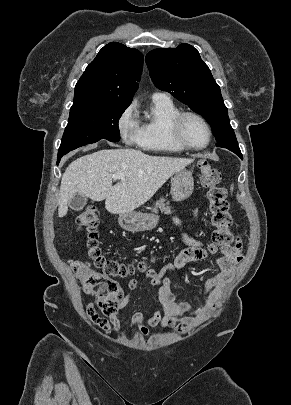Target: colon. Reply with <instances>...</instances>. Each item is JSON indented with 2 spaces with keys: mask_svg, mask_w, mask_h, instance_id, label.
Wrapping results in <instances>:
<instances>
[{
  "mask_svg": "<svg viewBox=\"0 0 291 405\" xmlns=\"http://www.w3.org/2000/svg\"><path fill=\"white\" fill-rule=\"evenodd\" d=\"M198 166L201 184L206 188V198L209 203L213 227L211 250L215 251L219 247L230 246L234 240L230 231L232 220L229 214L227 191L219 186L221 173L218 169L205 160L200 161ZM99 225L100 219L95 207H87L77 216L76 226L85 232L86 254L95 268L88 262L74 259L70 260V266L84 291L96 297L102 313L106 316H112L117 314L123 295L122 287L114 277H126L137 270L144 271L146 266L143 263L136 266L127 265L105 257L98 245L97 230Z\"/></svg>",
  "mask_w": 291,
  "mask_h": 405,
  "instance_id": "obj_1",
  "label": "colon"
}]
</instances>
